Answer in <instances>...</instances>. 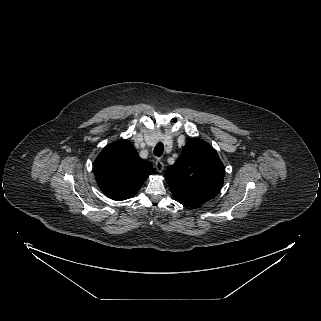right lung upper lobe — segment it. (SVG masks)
<instances>
[{
    "label": "right lung upper lobe",
    "instance_id": "cb5924a9",
    "mask_svg": "<svg viewBox=\"0 0 321 321\" xmlns=\"http://www.w3.org/2000/svg\"><path fill=\"white\" fill-rule=\"evenodd\" d=\"M93 171L103 193L121 201L139 191L153 167L139 157L128 140L121 139L103 148L94 161Z\"/></svg>",
    "mask_w": 321,
    "mask_h": 321
}]
</instances>
